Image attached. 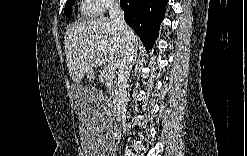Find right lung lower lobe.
I'll use <instances>...</instances> for the list:
<instances>
[{"label": "right lung lower lobe", "mask_w": 247, "mask_h": 156, "mask_svg": "<svg viewBox=\"0 0 247 156\" xmlns=\"http://www.w3.org/2000/svg\"><path fill=\"white\" fill-rule=\"evenodd\" d=\"M167 2L168 0H120L126 23L137 33L147 50L158 36Z\"/></svg>", "instance_id": "98d812e1"}]
</instances>
